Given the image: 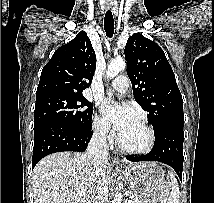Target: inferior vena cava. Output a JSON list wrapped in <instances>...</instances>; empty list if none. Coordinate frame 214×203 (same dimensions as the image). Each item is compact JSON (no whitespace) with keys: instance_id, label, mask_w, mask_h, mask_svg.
<instances>
[{"instance_id":"602c4592","label":"inferior vena cava","mask_w":214,"mask_h":203,"mask_svg":"<svg viewBox=\"0 0 214 203\" xmlns=\"http://www.w3.org/2000/svg\"><path fill=\"white\" fill-rule=\"evenodd\" d=\"M106 127L97 129L87 147L86 161L93 167L90 179L95 180L94 193L89 203H108V186L105 167L108 164V145Z\"/></svg>"}]
</instances>
